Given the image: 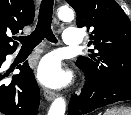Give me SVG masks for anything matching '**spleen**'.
I'll list each match as a JSON object with an SVG mask.
<instances>
[{
  "mask_svg": "<svg viewBox=\"0 0 131 115\" xmlns=\"http://www.w3.org/2000/svg\"><path fill=\"white\" fill-rule=\"evenodd\" d=\"M104 115H131V109L128 108H112L107 110Z\"/></svg>",
  "mask_w": 131,
  "mask_h": 115,
  "instance_id": "spleen-1",
  "label": "spleen"
}]
</instances>
